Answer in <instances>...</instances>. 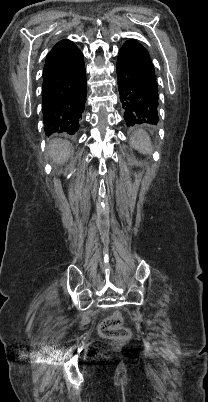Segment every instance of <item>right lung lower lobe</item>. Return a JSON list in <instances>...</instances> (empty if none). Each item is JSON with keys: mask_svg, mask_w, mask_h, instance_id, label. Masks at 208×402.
<instances>
[{"mask_svg": "<svg viewBox=\"0 0 208 402\" xmlns=\"http://www.w3.org/2000/svg\"><path fill=\"white\" fill-rule=\"evenodd\" d=\"M86 94L83 54L73 42L61 40L48 53L43 69L42 111L46 135L77 132Z\"/></svg>", "mask_w": 208, "mask_h": 402, "instance_id": "obj_1", "label": "right lung lower lobe"}]
</instances>
